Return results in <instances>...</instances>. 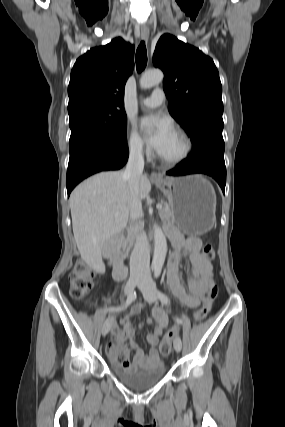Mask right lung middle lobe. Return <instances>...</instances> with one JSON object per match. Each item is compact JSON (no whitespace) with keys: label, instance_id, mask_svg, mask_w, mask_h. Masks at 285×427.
<instances>
[{"label":"right lung middle lobe","instance_id":"right-lung-middle-lobe-1","mask_svg":"<svg viewBox=\"0 0 285 427\" xmlns=\"http://www.w3.org/2000/svg\"><path fill=\"white\" fill-rule=\"evenodd\" d=\"M69 126V151L90 138H98L114 145L127 144V117L123 110H82L69 115Z\"/></svg>","mask_w":285,"mask_h":427}]
</instances>
